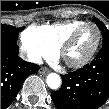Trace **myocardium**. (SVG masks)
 <instances>
[{
	"mask_svg": "<svg viewBox=\"0 0 109 109\" xmlns=\"http://www.w3.org/2000/svg\"><path fill=\"white\" fill-rule=\"evenodd\" d=\"M90 26L94 27L97 31V40H96L92 50L89 52V54L87 56H85L83 59H81L77 62H71V61L67 60V58H66L67 51L74 45V43L76 42L80 33L86 27H90ZM101 39H102V33H101L100 28L95 23L87 22V23L75 28L70 33V35L64 40V42L59 47L60 55L63 57L66 64L70 68H73V69L82 68V67L86 66L87 64H89L92 61V59L94 58V56L96 55V53L99 49L100 43H101Z\"/></svg>",
	"mask_w": 109,
	"mask_h": 109,
	"instance_id": "obj_1",
	"label": "myocardium"
}]
</instances>
